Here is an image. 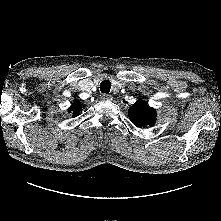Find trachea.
<instances>
[{"label": "trachea", "instance_id": "obj_1", "mask_svg": "<svg viewBox=\"0 0 221 221\" xmlns=\"http://www.w3.org/2000/svg\"><path fill=\"white\" fill-rule=\"evenodd\" d=\"M111 89V83L108 80H104L100 83V91L102 93H106L108 94L110 92Z\"/></svg>", "mask_w": 221, "mask_h": 221}]
</instances>
